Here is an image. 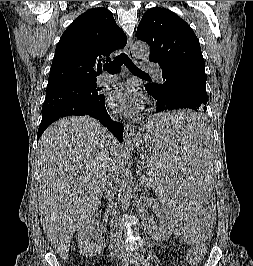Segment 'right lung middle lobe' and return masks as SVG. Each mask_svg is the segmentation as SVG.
<instances>
[{
  "label": "right lung middle lobe",
  "mask_w": 253,
  "mask_h": 266,
  "mask_svg": "<svg viewBox=\"0 0 253 266\" xmlns=\"http://www.w3.org/2000/svg\"><path fill=\"white\" fill-rule=\"evenodd\" d=\"M100 90L101 88L96 85V80L69 82L47 88L40 125L94 109L104 100V95L100 93Z\"/></svg>",
  "instance_id": "dd1d6c3e"
}]
</instances>
